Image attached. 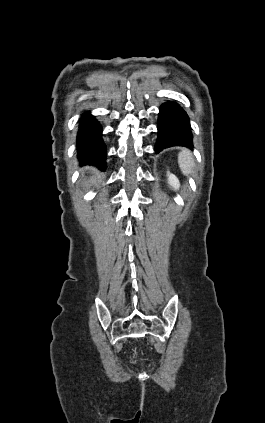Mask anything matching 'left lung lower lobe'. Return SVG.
Instances as JSON below:
<instances>
[{
	"label": "left lung lower lobe",
	"instance_id": "left-lung-lower-lobe-1",
	"mask_svg": "<svg viewBox=\"0 0 265 423\" xmlns=\"http://www.w3.org/2000/svg\"><path fill=\"white\" fill-rule=\"evenodd\" d=\"M192 132L187 113L175 102L161 105L158 115V139L155 151L171 146L192 147Z\"/></svg>",
	"mask_w": 265,
	"mask_h": 423
}]
</instances>
